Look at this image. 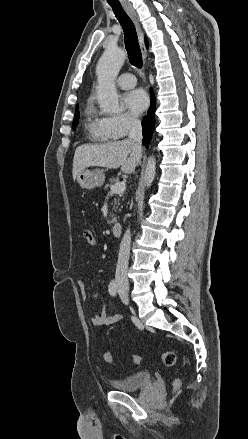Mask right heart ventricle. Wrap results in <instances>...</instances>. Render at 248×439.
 Masks as SVG:
<instances>
[{
	"label": "right heart ventricle",
	"mask_w": 248,
	"mask_h": 439,
	"mask_svg": "<svg viewBox=\"0 0 248 439\" xmlns=\"http://www.w3.org/2000/svg\"><path fill=\"white\" fill-rule=\"evenodd\" d=\"M83 118L85 129L92 139L101 142H111L117 139V137L111 134L106 128L104 118L97 113L91 99L86 103Z\"/></svg>",
	"instance_id": "1"
}]
</instances>
